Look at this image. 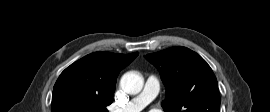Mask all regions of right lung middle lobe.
Here are the masks:
<instances>
[{"label": "right lung middle lobe", "instance_id": "1", "mask_svg": "<svg viewBox=\"0 0 270 112\" xmlns=\"http://www.w3.org/2000/svg\"><path fill=\"white\" fill-rule=\"evenodd\" d=\"M107 112L106 109L76 97H65L57 105L56 112Z\"/></svg>", "mask_w": 270, "mask_h": 112}]
</instances>
